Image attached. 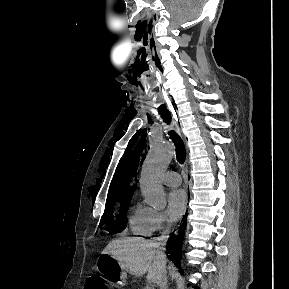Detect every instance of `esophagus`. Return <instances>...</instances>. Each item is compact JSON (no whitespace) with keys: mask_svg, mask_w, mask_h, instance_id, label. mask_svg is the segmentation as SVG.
Instances as JSON below:
<instances>
[{"mask_svg":"<svg viewBox=\"0 0 289 289\" xmlns=\"http://www.w3.org/2000/svg\"><path fill=\"white\" fill-rule=\"evenodd\" d=\"M169 107L173 110V107H172V104H169ZM173 114H174V118H175V121H176V124H175V126H176V129H177V131H178V133L182 136V138H183V140H184V143H185V146H186V150H187V153H189V148H188V144H187V140H186V137L182 134V132H181V127H182V125H181V123H180V125H179V123H178V118H177V115H175V112H173ZM188 157H187V163H188ZM185 177H186V185H187V187H188V185H189V179H188V164H186V167H185Z\"/></svg>","mask_w":289,"mask_h":289,"instance_id":"34e87169","label":"esophagus"}]
</instances>
